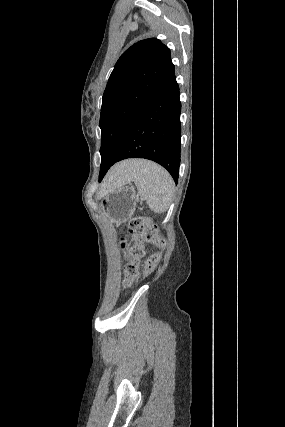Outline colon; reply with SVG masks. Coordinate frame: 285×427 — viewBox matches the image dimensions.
Instances as JSON below:
<instances>
[{
  "instance_id": "colon-1",
  "label": "colon",
  "mask_w": 285,
  "mask_h": 427,
  "mask_svg": "<svg viewBox=\"0 0 285 427\" xmlns=\"http://www.w3.org/2000/svg\"><path fill=\"white\" fill-rule=\"evenodd\" d=\"M128 231L135 236L130 253L134 257L143 256L145 245H153L159 249L158 252L148 256L145 259L144 273L148 274L153 271L162 259V252L166 248V241L162 238L157 229L151 225L145 217L133 218L129 221ZM140 272L137 260H131L125 267L124 287L127 288Z\"/></svg>"
}]
</instances>
